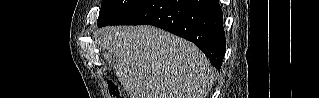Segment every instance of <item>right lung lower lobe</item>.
I'll return each mask as SVG.
<instances>
[{
    "instance_id": "obj_1",
    "label": "right lung lower lobe",
    "mask_w": 319,
    "mask_h": 98,
    "mask_svg": "<svg viewBox=\"0 0 319 98\" xmlns=\"http://www.w3.org/2000/svg\"><path fill=\"white\" fill-rule=\"evenodd\" d=\"M154 25L201 49L217 69L226 50L223 12L218 0H147L110 25Z\"/></svg>"
}]
</instances>
